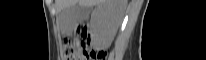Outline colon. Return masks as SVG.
Masks as SVG:
<instances>
[{"label": "colon", "mask_w": 206, "mask_h": 60, "mask_svg": "<svg viewBox=\"0 0 206 60\" xmlns=\"http://www.w3.org/2000/svg\"><path fill=\"white\" fill-rule=\"evenodd\" d=\"M88 29L80 25L74 37H67L64 42L63 56L66 60H98L104 58L103 52L89 48Z\"/></svg>", "instance_id": "5ec220e1"}]
</instances>
